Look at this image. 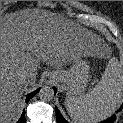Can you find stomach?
<instances>
[{"instance_id": "obj_1", "label": "stomach", "mask_w": 123, "mask_h": 123, "mask_svg": "<svg viewBox=\"0 0 123 123\" xmlns=\"http://www.w3.org/2000/svg\"><path fill=\"white\" fill-rule=\"evenodd\" d=\"M89 65L82 57L75 58L70 68L57 69L50 73V78L63 83L67 87V95H80L84 92L89 81Z\"/></svg>"}]
</instances>
